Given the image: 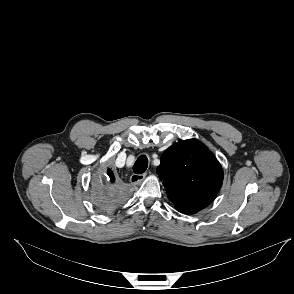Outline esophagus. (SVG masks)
Segmentation results:
<instances>
[{
  "mask_svg": "<svg viewBox=\"0 0 294 294\" xmlns=\"http://www.w3.org/2000/svg\"><path fill=\"white\" fill-rule=\"evenodd\" d=\"M147 173H142V174H133L130 177V183L132 185H139L140 183H142V181L144 180V178L146 177Z\"/></svg>",
  "mask_w": 294,
  "mask_h": 294,
  "instance_id": "1",
  "label": "esophagus"
}]
</instances>
